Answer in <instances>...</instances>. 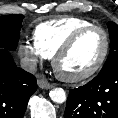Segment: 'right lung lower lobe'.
<instances>
[{"mask_svg":"<svg viewBox=\"0 0 118 118\" xmlns=\"http://www.w3.org/2000/svg\"><path fill=\"white\" fill-rule=\"evenodd\" d=\"M36 89L35 76L18 68L9 50L0 48V118H23Z\"/></svg>","mask_w":118,"mask_h":118,"instance_id":"98d812e1","label":"right lung lower lobe"}]
</instances>
